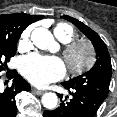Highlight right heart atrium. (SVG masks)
Instances as JSON below:
<instances>
[{
    "label": "right heart atrium",
    "instance_id": "d8ad5b80",
    "mask_svg": "<svg viewBox=\"0 0 117 117\" xmlns=\"http://www.w3.org/2000/svg\"><path fill=\"white\" fill-rule=\"evenodd\" d=\"M32 27H28L22 33L20 40H19V47L26 48L30 44V35H31Z\"/></svg>",
    "mask_w": 117,
    "mask_h": 117
}]
</instances>
